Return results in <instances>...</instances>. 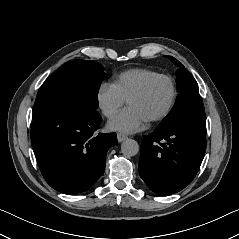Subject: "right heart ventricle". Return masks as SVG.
Returning a JSON list of instances; mask_svg holds the SVG:
<instances>
[{
  "label": "right heart ventricle",
  "mask_w": 239,
  "mask_h": 239,
  "mask_svg": "<svg viewBox=\"0 0 239 239\" xmlns=\"http://www.w3.org/2000/svg\"><path fill=\"white\" fill-rule=\"evenodd\" d=\"M156 75H158V72L145 68L129 69L118 75L114 81V86L124 100H127L129 96L138 90L148 79Z\"/></svg>",
  "instance_id": "right-heart-ventricle-1"
}]
</instances>
